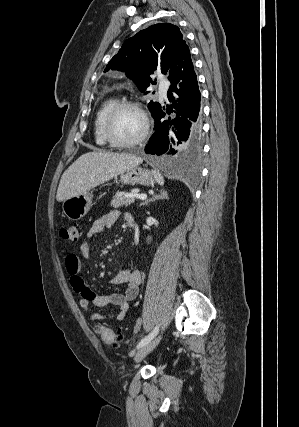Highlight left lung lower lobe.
<instances>
[{"instance_id": "1", "label": "left lung lower lobe", "mask_w": 299, "mask_h": 427, "mask_svg": "<svg viewBox=\"0 0 299 427\" xmlns=\"http://www.w3.org/2000/svg\"><path fill=\"white\" fill-rule=\"evenodd\" d=\"M171 82L169 105H157L152 112L155 133L145 153L159 155L165 162L197 159L201 153V94L189 47L183 40L168 72ZM167 117L166 120L162 118Z\"/></svg>"}]
</instances>
